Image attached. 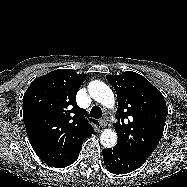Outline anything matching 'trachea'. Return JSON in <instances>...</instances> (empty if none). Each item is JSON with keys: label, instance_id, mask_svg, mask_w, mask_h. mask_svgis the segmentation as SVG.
I'll list each match as a JSON object with an SVG mask.
<instances>
[{"label": "trachea", "instance_id": "trachea-1", "mask_svg": "<svg viewBox=\"0 0 187 187\" xmlns=\"http://www.w3.org/2000/svg\"><path fill=\"white\" fill-rule=\"evenodd\" d=\"M90 116L95 118V119H99L102 117V110L100 107L98 106H94L92 107L91 111H90Z\"/></svg>", "mask_w": 187, "mask_h": 187}]
</instances>
